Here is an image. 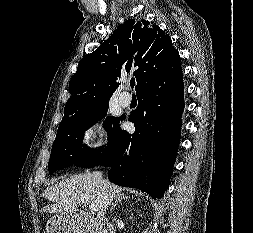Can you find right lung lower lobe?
Listing matches in <instances>:
<instances>
[{
  "instance_id": "98d812e1",
  "label": "right lung lower lobe",
  "mask_w": 253,
  "mask_h": 233,
  "mask_svg": "<svg viewBox=\"0 0 253 233\" xmlns=\"http://www.w3.org/2000/svg\"><path fill=\"white\" fill-rule=\"evenodd\" d=\"M183 89L181 65L147 82L137 92L139 104L129 117L135 132L122 130L118 121L105 149L76 166L104 165L109 167L111 182L143 190L153 199L162 198L180 140Z\"/></svg>"
}]
</instances>
